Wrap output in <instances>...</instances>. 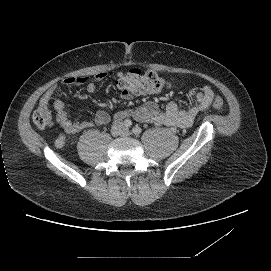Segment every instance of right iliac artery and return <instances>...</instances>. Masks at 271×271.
I'll list each match as a JSON object with an SVG mask.
<instances>
[{"instance_id":"right-iliac-artery-1","label":"right iliac artery","mask_w":271,"mask_h":271,"mask_svg":"<svg viewBox=\"0 0 271 271\" xmlns=\"http://www.w3.org/2000/svg\"><path fill=\"white\" fill-rule=\"evenodd\" d=\"M131 125H132L131 120L126 119V120L124 121V126H125V127L129 128V127H131Z\"/></svg>"}]
</instances>
